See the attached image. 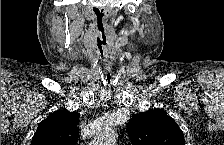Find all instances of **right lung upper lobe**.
Instances as JSON below:
<instances>
[{
  "label": "right lung upper lobe",
  "instance_id": "right-lung-upper-lobe-1",
  "mask_svg": "<svg viewBox=\"0 0 224 145\" xmlns=\"http://www.w3.org/2000/svg\"><path fill=\"white\" fill-rule=\"evenodd\" d=\"M78 112L68 110L50 114L38 125L31 145H75L78 141Z\"/></svg>",
  "mask_w": 224,
  "mask_h": 145
}]
</instances>
